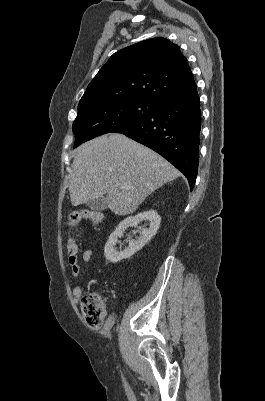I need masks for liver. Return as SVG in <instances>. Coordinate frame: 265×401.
Segmentation results:
<instances>
[{
  "instance_id": "1",
  "label": "liver",
  "mask_w": 265,
  "mask_h": 401,
  "mask_svg": "<svg viewBox=\"0 0 265 401\" xmlns=\"http://www.w3.org/2000/svg\"><path fill=\"white\" fill-rule=\"evenodd\" d=\"M71 166L73 207L107 194V207L115 215L135 213L148 194L181 174L160 154L118 132L78 146Z\"/></svg>"
}]
</instances>
